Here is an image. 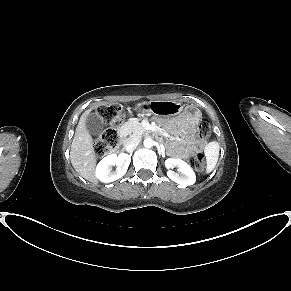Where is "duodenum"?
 Masks as SVG:
<instances>
[{
	"mask_svg": "<svg viewBox=\"0 0 291 291\" xmlns=\"http://www.w3.org/2000/svg\"><path fill=\"white\" fill-rule=\"evenodd\" d=\"M127 143L128 142L126 140V137H121V140L119 141V143L117 144V146L112 149V152L114 154L121 153L124 150V148L127 145Z\"/></svg>",
	"mask_w": 291,
	"mask_h": 291,
	"instance_id": "duodenum-1",
	"label": "duodenum"
}]
</instances>
